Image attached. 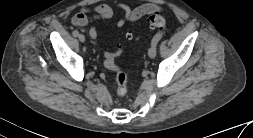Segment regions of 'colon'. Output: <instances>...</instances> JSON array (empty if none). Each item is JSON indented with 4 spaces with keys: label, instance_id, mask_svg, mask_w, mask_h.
Returning a JSON list of instances; mask_svg holds the SVG:
<instances>
[{
    "label": "colon",
    "instance_id": "obj_1",
    "mask_svg": "<svg viewBox=\"0 0 253 138\" xmlns=\"http://www.w3.org/2000/svg\"><path fill=\"white\" fill-rule=\"evenodd\" d=\"M148 24L151 28L163 30L166 28V20L158 13H154L148 17ZM127 39H132L133 34L127 33ZM122 53V49L115 52L105 54L104 65L115 72L116 93L119 97H123L127 92V75L116 63V58Z\"/></svg>",
    "mask_w": 253,
    "mask_h": 138
}]
</instances>
